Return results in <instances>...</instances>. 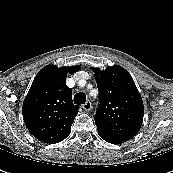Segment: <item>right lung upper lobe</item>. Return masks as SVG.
Instances as JSON below:
<instances>
[{
	"instance_id": "right-lung-upper-lobe-1",
	"label": "right lung upper lobe",
	"mask_w": 173,
	"mask_h": 173,
	"mask_svg": "<svg viewBox=\"0 0 173 173\" xmlns=\"http://www.w3.org/2000/svg\"><path fill=\"white\" fill-rule=\"evenodd\" d=\"M79 69L48 65L36 75L22 112L26 127L38 140L55 144L70 134L79 106L73 104L72 90L65 81L67 73L74 74Z\"/></svg>"
}]
</instances>
